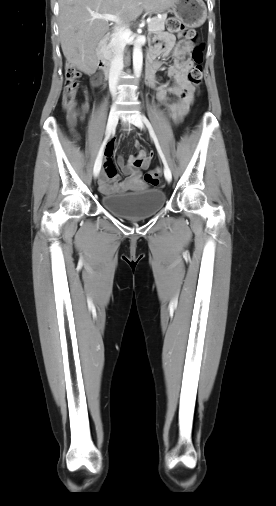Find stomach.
I'll list each match as a JSON object with an SVG mask.
<instances>
[{
    "label": "stomach",
    "mask_w": 276,
    "mask_h": 506,
    "mask_svg": "<svg viewBox=\"0 0 276 506\" xmlns=\"http://www.w3.org/2000/svg\"><path fill=\"white\" fill-rule=\"evenodd\" d=\"M170 8V12L189 27L202 25L207 17V8L203 0H176Z\"/></svg>",
    "instance_id": "stomach-1"
}]
</instances>
